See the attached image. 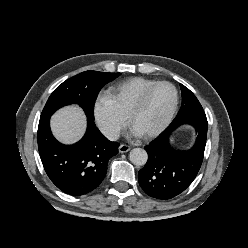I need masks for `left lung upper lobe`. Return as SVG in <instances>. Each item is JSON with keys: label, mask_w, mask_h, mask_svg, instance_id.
I'll return each mask as SVG.
<instances>
[{"label": "left lung upper lobe", "mask_w": 248, "mask_h": 248, "mask_svg": "<svg viewBox=\"0 0 248 248\" xmlns=\"http://www.w3.org/2000/svg\"><path fill=\"white\" fill-rule=\"evenodd\" d=\"M182 91V106L172 121V124L183 120H207L205 112L196 96L184 85L180 84Z\"/></svg>", "instance_id": "1"}]
</instances>
